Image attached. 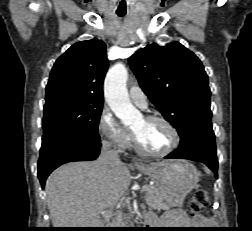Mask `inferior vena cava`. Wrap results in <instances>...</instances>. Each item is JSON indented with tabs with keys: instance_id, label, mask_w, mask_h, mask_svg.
<instances>
[{
	"instance_id": "inferior-vena-cava-1",
	"label": "inferior vena cava",
	"mask_w": 252,
	"mask_h": 231,
	"mask_svg": "<svg viewBox=\"0 0 252 231\" xmlns=\"http://www.w3.org/2000/svg\"><path fill=\"white\" fill-rule=\"evenodd\" d=\"M99 162L104 166V168L111 170L122 164L117 151L111 149V144L107 141L102 142Z\"/></svg>"
}]
</instances>
